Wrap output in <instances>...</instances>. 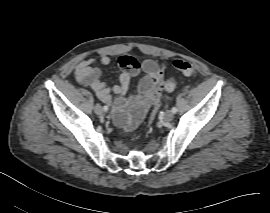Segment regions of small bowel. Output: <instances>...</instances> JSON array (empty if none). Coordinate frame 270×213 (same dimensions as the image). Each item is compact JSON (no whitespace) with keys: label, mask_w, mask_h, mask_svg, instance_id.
<instances>
[{"label":"small bowel","mask_w":270,"mask_h":213,"mask_svg":"<svg viewBox=\"0 0 270 213\" xmlns=\"http://www.w3.org/2000/svg\"><path fill=\"white\" fill-rule=\"evenodd\" d=\"M95 62L94 59L81 61L75 69L76 79L81 84L92 88L103 103L113 108V118L120 128L124 130L132 129L147 110L160 100L161 93L158 87L161 82L162 70L159 64L148 59L138 66L133 58L120 57L118 65L122 74L119 83L111 89L101 80L102 70L95 66ZM99 63L102 66L110 65V56L102 54L99 57ZM140 68L144 71L145 76L138 84L135 92L126 96L131 80L137 76ZM111 91L116 96H113ZM124 106L131 107L132 116L130 118L121 114L120 108Z\"/></svg>","instance_id":"small-bowel-1"}]
</instances>
